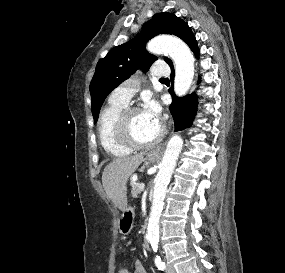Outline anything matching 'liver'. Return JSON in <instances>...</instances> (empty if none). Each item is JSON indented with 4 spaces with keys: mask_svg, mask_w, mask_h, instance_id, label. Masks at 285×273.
<instances>
[{
    "mask_svg": "<svg viewBox=\"0 0 285 273\" xmlns=\"http://www.w3.org/2000/svg\"><path fill=\"white\" fill-rule=\"evenodd\" d=\"M146 152L116 158L102 174V183L107 196L123 212L127 210V181L144 160Z\"/></svg>",
    "mask_w": 285,
    "mask_h": 273,
    "instance_id": "6515ba94",
    "label": "liver"
}]
</instances>
